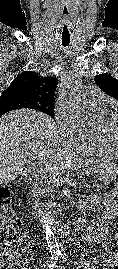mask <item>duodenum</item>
<instances>
[{"mask_svg": "<svg viewBox=\"0 0 118 269\" xmlns=\"http://www.w3.org/2000/svg\"><path fill=\"white\" fill-rule=\"evenodd\" d=\"M34 192H35V190H34ZM34 211L36 214V218L40 222L51 225L55 230H57L61 234L68 235L71 233L73 226L70 222L59 221L56 219L48 218L46 216L45 212L43 211V209L41 208V206H39V205L34 206Z\"/></svg>", "mask_w": 118, "mask_h": 269, "instance_id": "duodenum-1", "label": "duodenum"}]
</instances>
